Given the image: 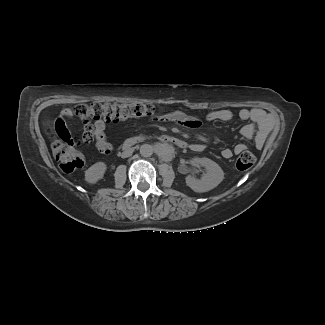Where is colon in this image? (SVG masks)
Returning a JSON list of instances; mask_svg holds the SVG:
<instances>
[{
    "label": "colon",
    "instance_id": "colon-1",
    "mask_svg": "<svg viewBox=\"0 0 325 325\" xmlns=\"http://www.w3.org/2000/svg\"><path fill=\"white\" fill-rule=\"evenodd\" d=\"M159 109L153 105L139 103H92L90 105L79 104L74 107L73 113L85 123L91 119H104L107 122H118L126 119H137L156 115ZM52 150L62 171L73 172L84 165L83 153L61 140L56 139L52 143ZM255 163V156L249 151L240 153L236 160L239 170L250 169Z\"/></svg>",
    "mask_w": 325,
    "mask_h": 325
}]
</instances>
